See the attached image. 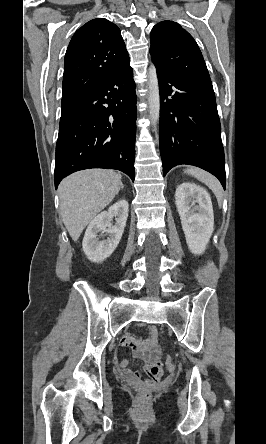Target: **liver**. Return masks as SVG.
<instances>
[{
	"mask_svg": "<svg viewBox=\"0 0 266 444\" xmlns=\"http://www.w3.org/2000/svg\"><path fill=\"white\" fill-rule=\"evenodd\" d=\"M121 175L112 170L90 169L76 172L59 185L63 223L73 241L119 193Z\"/></svg>",
	"mask_w": 266,
	"mask_h": 444,
	"instance_id": "liver-1",
	"label": "liver"
}]
</instances>
